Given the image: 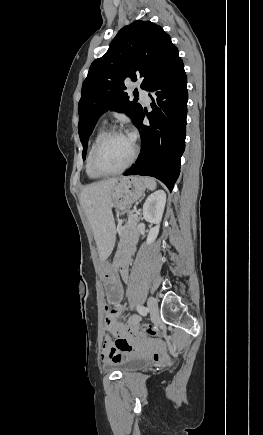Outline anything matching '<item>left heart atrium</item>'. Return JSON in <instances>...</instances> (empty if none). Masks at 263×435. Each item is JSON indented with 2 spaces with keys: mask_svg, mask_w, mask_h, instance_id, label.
Here are the masks:
<instances>
[{
  "mask_svg": "<svg viewBox=\"0 0 263 435\" xmlns=\"http://www.w3.org/2000/svg\"><path fill=\"white\" fill-rule=\"evenodd\" d=\"M128 137H129V139H130L132 142H134V140H135V135H134V133H130Z\"/></svg>",
  "mask_w": 263,
  "mask_h": 435,
  "instance_id": "39dd6f15",
  "label": "left heart atrium"
}]
</instances>
